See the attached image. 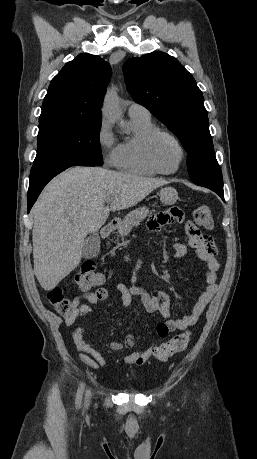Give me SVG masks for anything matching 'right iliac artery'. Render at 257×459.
<instances>
[{
	"mask_svg": "<svg viewBox=\"0 0 257 459\" xmlns=\"http://www.w3.org/2000/svg\"><path fill=\"white\" fill-rule=\"evenodd\" d=\"M83 388H84V385L81 384L80 387L78 388V391H77V395H76V406L77 407H79L80 404H81Z\"/></svg>",
	"mask_w": 257,
	"mask_h": 459,
	"instance_id": "1",
	"label": "right iliac artery"
}]
</instances>
